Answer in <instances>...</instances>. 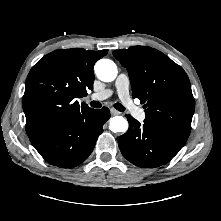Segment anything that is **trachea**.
Returning a JSON list of instances; mask_svg holds the SVG:
<instances>
[{"label": "trachea", "mask_w": 221, "mask_h": 221, "mask_svg": "<svg viewBox=\"0 0 221 221\" xmlns=\"http://www.w3.org/2000/svg\"><path fill=\"white\" fill-rule=\"evenodd\" d=\"M90 105H91V107H93V108H100L101 107V103L100 102H98V101H92L91 103H90ZM114 108L115 109H117L118 111H125V107L122 105V104H120V103H115L114 104Z\"/></svg>", "instance_id": "obj_1"}]
</instances>
